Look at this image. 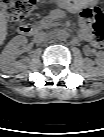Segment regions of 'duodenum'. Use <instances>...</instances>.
I'll return each mask as SVG.
<instances>
[{"mask_svg":"<svg viewBox=\"0 0 104 137\" xmlns=\"http://www.w3.org/2000/svg\"><path fill=\"white\" fill-rule=\"evenodd\" d=\"M18 31L23 36H31L34 33L35 28L30 24H21L18 28Z\"/></svg>","mask_w":104,"mask_h":137,"instance_id":"410a0bca","label":"duodenum"}]
</instances>
